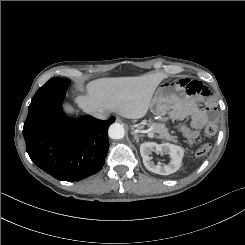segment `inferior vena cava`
I'll use <instances>...</instances> for the list:
<instances>
[{
    "label": "inferior vena cava",
    "mask_w": 245,
    "mask_h": 245,
    "mask_svg": "<svg viewBox=\"0 0 245 245\" xmlns=\"http://www.w3.org/2000/svg\"><path fill=\"white\" fill-rule=\"evenodd\" d=\"M95 118L105 120L108 117V114L104 110H99L92 114Z\"/></svg>",
    "instance_id": "obj_1"
}]
</instances>
